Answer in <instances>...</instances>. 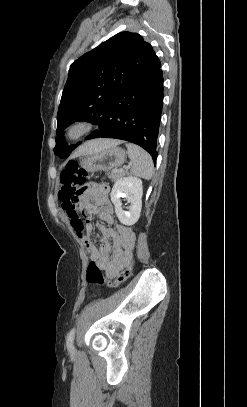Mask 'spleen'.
<instances>
[{
  "mask_svg": "<svg viewBox=\"0 0 247 407\" xmlns=\"http://www.w3.org/2000/svg\"><path fill=\"white\" fill-rule=\"evenodd\" d=\"M130 159V174L149 180L153 176L154 165L151 156L141 147L125 143Z\"/></svg>",
  "mask_w": 247,
  "mask_h": 407,
  "instance_id": "obj_1",
  "label": "spleen"
}]
</instances>
